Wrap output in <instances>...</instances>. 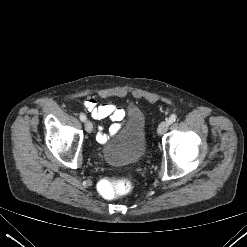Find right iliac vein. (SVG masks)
Here are the masks:
<instances>
[{"instance_id": "63e3f726", "label": "right iliac vein", "mask_w": 247, "mask_h": 247, "mask_svg": "<svg viewBox=\"0 0 247 247\" xmlns=\"http://www.w3.org/2000/svg\"><path fill=\"white\" fill-rule=\"evenodd\" d=\"M85 130L88 132V133H91L93 131V124L91 123V121L87 120L85 121Z\"/></svg>"}]
</instances>
